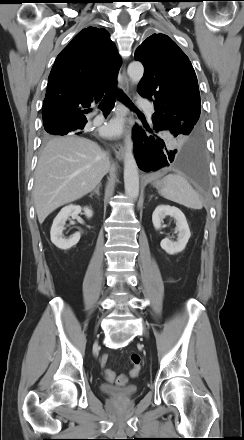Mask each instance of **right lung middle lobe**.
<instances>
[{
  "mask_svg": "<svg viewBox=\"0 0 244 440\" xmlns=\"http://www.w3.org/2000/svg\"><path fill=\"white\" fill-rule=\"evenodd\" d=\"M67 132H65V130L63 129V125L61 126H49V127H45V136L49 137L51 135H66Z\"/></svg>",
  "mask_w": 244,
  "mask_h": 440,
  "instance_id": "dd1d6c3e",
  "label": "right lung middle lobe"
}]
</instances>
